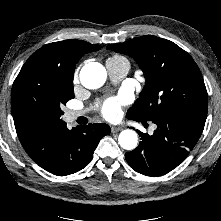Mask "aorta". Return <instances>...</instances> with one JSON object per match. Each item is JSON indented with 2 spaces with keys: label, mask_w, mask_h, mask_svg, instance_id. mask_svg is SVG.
Returning a JSON list of instances; mask_svg holds the SVG:
<instances>
[{
  "label": "aorta",
  "mask_w": 221,
  "mask_h": 221,
  "mask_svg": "<svg viewBox=\"0 0 221 221\" xmlns=\"http://www.w3.org/2000/svg\"><path fill=\"white\" fill-rule=\"evenodd\" d=\"M107 72L98 62H90L84 65L80 71V81L88 89H97L104 85ZM119 145L125 150H133L137 147L138 135L134 130H123L118 137Z\"/></svg>",
  "instance_id": "1"
}]
</instances>
